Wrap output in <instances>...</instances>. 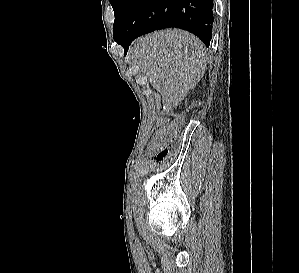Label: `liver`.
<instances>
[{"label": "liver", "instance_id": "obj_1", "mask_svg": "<svg viewBox=\"0 0 299 273\" xmlns=\"http://www.w3.org/2000/svg\"><path fill=\"white\" fill-rule=\"evenodd\" d=\"M130 60L161 94L166 111L178 106L203 77L206 48L194 35L179 29L141 37L130 49Z\"/></svg>", "mask_w": 299, "mask_h": 273}]
</instances>
